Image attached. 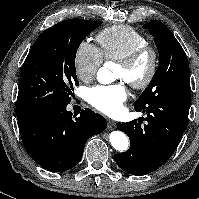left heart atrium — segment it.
Returning <instances> with one entry per match:
<instances>
[{
  "mask_svg": "<svg viewBox=\"0 0 199 199\" xmlns=\"http://www.w3.org/2000/svg\"><path fill=\"white\" fill-rule=\"evenodd\" d=\"M127 97L128 91L124 82L96 86L88 92L89 103L97 110L110 116H116L122 112Z\"/></svg>",
  "mask_w": 199,
  "mask_h": 199,
  "instance_id": "1",
  "label": "left heart atrium"
}]
</instances>
